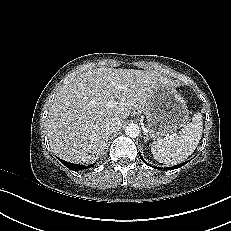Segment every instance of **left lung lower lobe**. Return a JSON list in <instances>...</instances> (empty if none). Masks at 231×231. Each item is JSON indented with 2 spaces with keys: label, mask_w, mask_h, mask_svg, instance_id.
<instances>
[{
  "label": "left lung lower lobe",
  "mask_w": 231,
  "mask_h": 231,
  "mask_svg": "<svg viewBox=\"0 0 231 231\" xmlns=\"http://www.w3.org/2000/svg\"><path fill=\"white\" fill-rule=\"evenodd\" d=\"M140 158H141L142 161H144L141 155H140ZM188 162H189V160L186 161V162H183V163H181V164H178V165H175V166H172V167H168V168H161V167H158V168H157V167H154V168H157V169L163 170V171H165V170H171V169H177V168H179V167L185 165V164L188 163ZM148 165H149V164H148Z\"/></svg>",
  "instance_id": "0a47b994"
}]
</instances>
